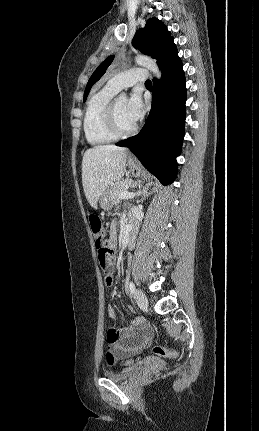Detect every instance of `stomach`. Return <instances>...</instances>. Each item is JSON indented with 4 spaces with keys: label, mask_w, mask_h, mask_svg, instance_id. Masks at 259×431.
I'll return each mask as SVG.
<instances>
[{
    "label": "stomach",
    "mask_w": 259,
    "mask_h": 431,
    "mask_svg": "<svg viewBox=\"0 0 259 431\" xmlns=\"http://www.w3.org/2000/svg\"><path fill=\"white\" fill-rule=\"evenodd\" d=\"M128 166L132 173L136 176H139L142 173L140 166L134 161H128ZM99 204L101 208L105 210H110L113 206V203L110 198V188H108L99 198Z\"/></svg>",
    "instance_id": "0dacf381"
}]
</instances>
